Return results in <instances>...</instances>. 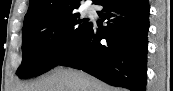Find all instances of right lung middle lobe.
<instances>
[{"label":"right lung middle lobe","mask_w":173,"mask_h":91,"mask_svg":"<svg viewBox=\"0 0 173 91\" xmlns=\"http://www.w3.org/2000/svg\"><path fill=\"white\" fill-rule=\"evenodd\" d=\"M91 22L79 13L30 25L22 31L20 78L41 75L57 66L85 37Z\"/></svg>","instance_id":"1"}]
</instances>
